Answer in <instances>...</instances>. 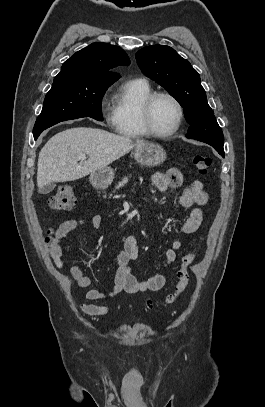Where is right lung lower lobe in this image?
<instances>
[{
    "label": "right lung lower lobe",
    "instance_id": "obj_1",
    "mask_svg": "<svg viewBox=\"0 0 265 407\" xmlns=\"http://www.w3.org/2000/svg\"><path fill=\"white\" fill-rule=\"evenodd\" d=\"M38 136H35L34 139H37Z\"/></svg>",
    "mask_w": 265,
    "mask_h": 407
}]
</instances>
